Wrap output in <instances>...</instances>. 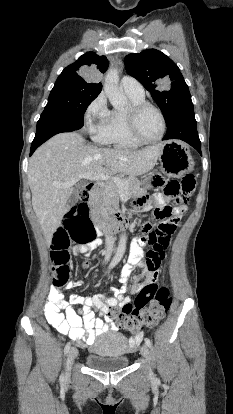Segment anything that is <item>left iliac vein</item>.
<instances>
[{
    "mask_svg": "<svg viewBox=\"0 0 233 414\" xmlns=\"http://www.w3.org/2000/svg\"><path fill=\"white\" fill-rule=\"evenodd\" d=\"M140 352H141V355L145 358V360L149 362L150 354H149V349L147 345H143L140 349Z\"/></svg>",
    "mask_w": 233,
    "mask_h": 414,
    "instance_id": "1",
    "label": "left iliac vein"
}]
</instances>
